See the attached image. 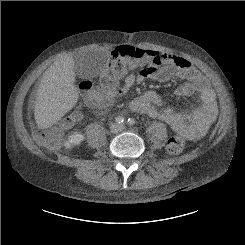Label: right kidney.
<instances>
[{
    "mask_svg": "<svg viewBox=\"0 0 245 245\" xmlns=\"http://www.w3.org/2000/svg\"><path fill=\"white\" fill-rule=\"evenodd\" d=\"M83 140L84 135L80 132H76L68 137V140L65 142L64 146L66 148H72L76 145H79Z\"/></svg>",
    "mask_w": 245,
    "mask_h": 245,
    "instance_id": "ca27d5eb",
    "label": "right kidney"
}]
</instances>
